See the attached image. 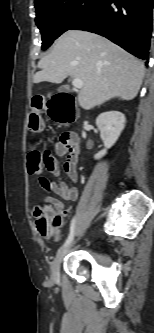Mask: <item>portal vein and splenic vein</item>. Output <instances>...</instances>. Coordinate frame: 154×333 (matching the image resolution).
<instances>
[{"instance_id": "portal-vein-and-splenic-vein-1", "label": "portal vein and splenic vein", "mask_w": 154, "mask_h": 333, "mask_svg": "<svg viewBox=\"0 0 154 333\" xmlns=\"http://www.w3.org/2000/svg\"><path fill=\"white\" fill-rule=\"evenodd\" d=\"M72 85L77 89H81L83 87V82L81 79H73Z\"/></svg>"}]
</instances>
